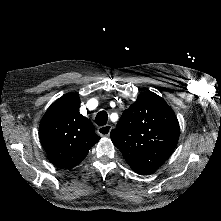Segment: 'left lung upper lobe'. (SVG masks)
I'll list each match as a JSON object with an SVG mask.
<instances>
[{
    "label": "left lung upper lobe",
    "instance_id": "obj_1",
    "mask_svg": "<svg viewBox=\"0 0 221 221\" xmlns=\"http://www.w3.org/2000/svg\"><path fill=\"white\" fill-rule=\"evenodd\" d=\"M179 132V122L170 106L157 94L146 91L123 112L117 128L111 131V139L132 170L147 175L172 154Z\"/></svg>",
    "mask_w": 221,
    "mask_h": 221
}]
</instances>
